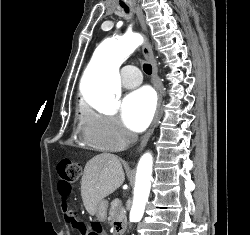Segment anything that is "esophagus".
I'll use <instances>...</instances> for the list:
<instances>
[{
	"label": "esophagus",
	"mask_w": 250,
	"mask_h": 235,
	"mask_svg": "<svg viewBox=\"0 0 250 235\" xmlns=\"http://www.w3.org/2000/svg\"><path fill=\"white\" fill-rule=\"evenodd\" d=\"M136 14L138 16V19H139V22H140V25H141L143 31H146V25H145V21H144V15H143V12H142V10H141L140 7L136 8ZM142 51H143V54H144L145 58L152 65V69H153V84H154V87H155V89L157 91V94H158V106H157V110L155 112L154 119H153V121H152L149 129L147 130V132L142 137V139L140 141V144L137 147L135 153H137L139 150H141L147 144L148 140L150 139L151 135L153 134V131L155 129V126H156L157 121H158V119L160 117V114H161V108H162V103H163V91L161 89V86H160L159 80H158V68H157V65H156L155 58H154L153 53H152V49H151L150 43L147 40V38H145V42H144V44L142 46Z\"/></svg>",
	"instance_id": "esophagus-1"
}]
</instances>
